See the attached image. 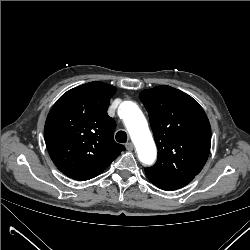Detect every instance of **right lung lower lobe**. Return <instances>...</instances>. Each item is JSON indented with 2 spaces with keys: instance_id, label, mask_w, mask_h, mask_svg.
<instances>
[{
  "instance_id": "right-lung-lower-lobe-1",
  "label": "right lung lower lobe",
  "mask_w": 250,
  "mask_h": 250,
  "mask_svg": "<svg viewBox=\"0 0 250 250\" xmlns=\"http://www.w3.org/2000/svg\"><path fill=\"white\" fill-rule=\"evenodd\" d=\"M96 176H97V175H96ZM93 177H95V176L88 177V178H84V179H80V181L89 180V179H91V178H93Z\"/></svg>"
}]
</instances>
